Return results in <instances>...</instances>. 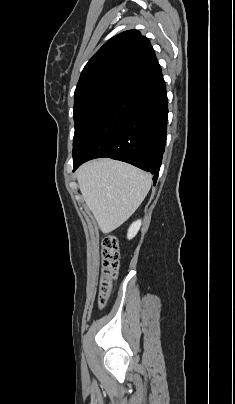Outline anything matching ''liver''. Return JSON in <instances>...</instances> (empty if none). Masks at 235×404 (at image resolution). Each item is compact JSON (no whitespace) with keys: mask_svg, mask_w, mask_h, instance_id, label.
<instances>
[{"mask_svg":"<svg viewBox=\"0 0 235 404\" xmlns=\"http://www.w3.org/2000/svg\"><path fill=\"white\" fill-rule=\"evenodd\" d=\"M79 189L100 230L109 233L140 206L151 187V175L124 162L103 158L76 172Z\"/></svg>","mask_w":235,"mask_h":404,"instance_id":"1","label":"liver"}]
</instances>
